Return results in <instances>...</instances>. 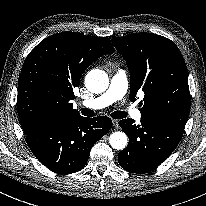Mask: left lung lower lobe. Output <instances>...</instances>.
I'll use <instances>...</instances> for the list:
<instances>
[{"instance_id":"obj_1","label":"left lung lower lobe","mask_w":206,"mask_h":206,"mask_svg":"<svg viewBox=\"0 0 206 206\" xmlns=\"http://www.w3.org/2000/svg\"><path fill=\"white\" fill-rule=\"evenodd\" d=\"M127 134L129 143L118 154L121 167L132 173H147L154 170L175 150L184 129L141 119L136 125L133 119L119 122Z\"/></svg>"}]
</instances>
